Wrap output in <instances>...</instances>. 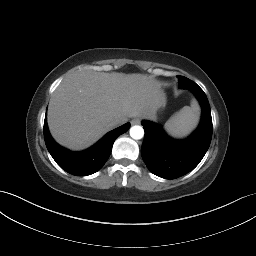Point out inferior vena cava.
I'll return each instance as SVG.
<instances>
[{
  "label": "inferior vena cava",
  "instance_id": "inferior-vena-cava-1",
  "mask_svg": "<svg viewBox=\"0 0 256 256\" xmlns=\"http://www.w3.org/2000/svg\"><path fill=\"white\" fill-rule=\"evenodd\" d=\"M121 123H122V122H121L120 119H115V120H113V121L110 123V126H111V127H116V126L120 125Z\"/></svg>",
  "mask_w": 256,
  "mask_h": 256
}]
</instances>
